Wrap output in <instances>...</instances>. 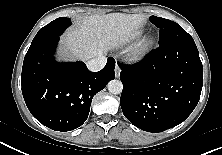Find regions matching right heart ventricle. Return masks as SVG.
Masks as SVG:
<instances>
[{"instance_id":"e07e8e85","label":"right heart ventricle","mask_w":222,"mask_h":155,"mask_svg":"<svg viewBox=\"0 0 222 155\" xmlns=\"http://www.w3.org/2000/svg\"><path fill=\"white\" fill-rule=\"evenodd\" d=\"M143 33H144V30H137V31L133 32V33L129 36V38H130V40H135V39L141 37Z\"/></svg>"}]
</instances>
